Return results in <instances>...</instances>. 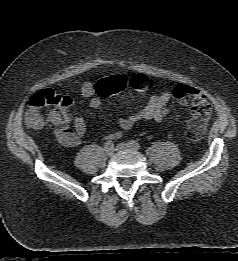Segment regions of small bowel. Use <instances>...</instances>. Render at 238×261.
Masks as SVG:
<instances>
[{"mask_svg": "<svg viewBox=\"0 0 238 261\" xmlns=\"http://www.w3.org/2000/svg\"><path fill=\"white\" fill-rule=\"evenodd\" d=\"M81 93L89 98L91 108L97 109L102 105L104 97L96 92V84L90 81L81 86ZM171 96L167 92L154 93L147 105L119 120V130L111 134L117 138L128 132L137 122L142 120H163L169 112L168 105ZM49 122L54 126V135L57 140L66 147L78 146L86 132V123L81 117H72L65 110H51L48 115Z\"/></svg>", "mask_w": 238, "mask_h": 261, "instance_id": "1", "label": "small bowel"}]
</instances>
